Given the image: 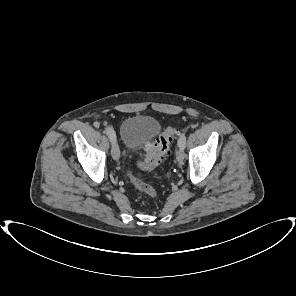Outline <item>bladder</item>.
I'll list each match as a JSON object with an SVG mask.
<instances>
[{
  "mask_svg": "<svg viewBox=\"0 0 296 296\" xmlns=\"http://www.w3.org/2000/svg\"><path fill=\"white\" fill-rule=\"evenodd\" d=\"M160 131L159 122L146 115H132L121 124L120 136L128 150H135L155 137Z\"/></svg>",
  "mask_w": 296,
  "mask_h": 296,
  "instance_id": "bladder-1",
  "label": "bladder"
}]
</instances>
